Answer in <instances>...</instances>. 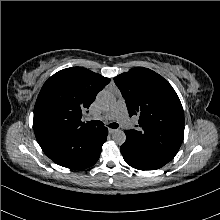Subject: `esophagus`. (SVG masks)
<instances>
[{"label": "esophagus", "instance_id": "obj_1", "mask_svg": "<svg viewBox=\"0 0 220 220\" xmlns=\"http://www.w3.org/2000/svg\"><path fill=\"white\" fill-rule=\"evenodd\" d=\"M108 131H109V133H110V134H113V133H115V132H116V130H115V129H111V128H109V129H108Z\"/></svg>", "mask_w": 220, "mask_h": 220}]
</instances>
